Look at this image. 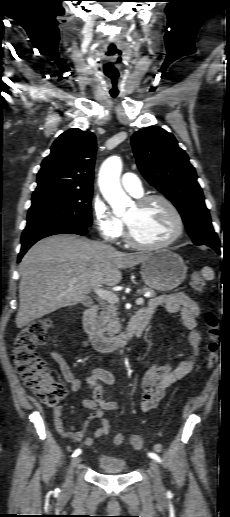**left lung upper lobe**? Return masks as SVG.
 <instances>
[{
  "instance_id": "1",
  "label": "left lung upper lobe",
  "mask_w": 230,
  "mask_h": 517,
  "mask_svg": "<svg viewBox=\"0 0 230 517\" xmlns=\"http://www.w3.org/2000/svg\"><path fill=\"white\" fill-rule=\"evenodd\" d=\"M131 143L139 170L178 208L194 244L219 243L195 169L175 137L148 127L134 133Z\"/></svg>"
}]
</instances>
